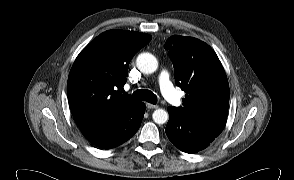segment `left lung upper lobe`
I'll return each mask as SVG.
<instances>
[{
	"instance_id": "obj_1",
	"label": "left lung upper lobe",
	"mask_w": 294,
	"mask_h": 180,
	"mask_svg": "<svg viewBox=\"0 0 294 180\" xmlns=\"http://www.w3.org/2000/svg\"><path fill=\"white\" fill-rule=\"evenodd\" d=\"M164 48L169 50L176 85L186 92L183 106L176 108L192 118L227 119L229 84L213 49L193 37L173 35Z\"/></svg>"
}]
</instances>
